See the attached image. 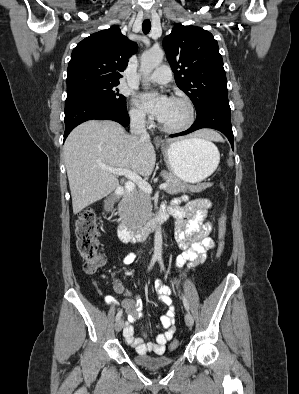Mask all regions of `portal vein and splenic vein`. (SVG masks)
Instances as JSON below:
<instances>
[{
    "label": "portal vein and splenic vein",
    "mask_w": 299,
    "mask_h": 394,
    "mask_svg": "<svg viewBox=\"0 0 299 394\" xmlns=\"http://www.w3.org/2000/svg\"><path fill=\"white\" fill-rule=\"evenodd\" d=\"M103 169L106 171H109L115 175H122L125 176L127 179L132 181L131 183H135L140 190H142L146 194H151L152 193V187L151 185L143 180L138 174L130 171L129 169H118V168H111L104 166ZM168 186V183H162L159 188L160 189H165Z\"/></svg>",
    "instance_id": "18ae733b"
}]
</instances>
